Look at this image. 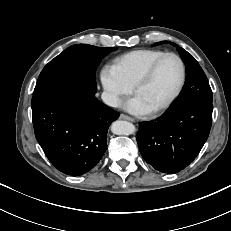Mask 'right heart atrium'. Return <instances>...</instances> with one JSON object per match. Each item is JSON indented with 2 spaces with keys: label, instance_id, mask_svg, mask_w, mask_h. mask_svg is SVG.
Masks as SVG:
<instances>
[{
  "label": "right heart atrium",
  "instance_id": "right-heart-atrium-1",
  "mask_svg": "<svg viewBox=\"0 0 231 231\" xmlns=\"http://www.w3.org/2000/svg\"><path fill=\"white\" fill-rule=\"evenodd\" d=\"M100 81L104 100L112 107L119 106L123 98L132 91V87L119 76L111 65L102 67L100 70Z\"/></svg>",
  "mask_w": 231,
  "mask_h": 231
}]
</instances>
